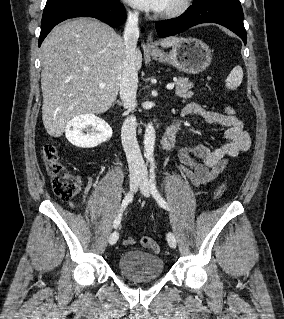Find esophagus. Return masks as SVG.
<instances>
[{
  "label": "esophagus",
  "mask_w": 284,
  "mask_h": 319,
  "mask_svg": "<svg viewBox=\"0 0 284 319\" xmlns=\"http://www.w3.org/2000/svg\"><path fill=\"white\" fill-rule=\"evenodd\" d=\"M144 49L146 51H150V52L157 51V47H156L155 43L153 42V38H152L151 34H149L147 37V41H146V44L144 46Z\"/></svg>",
  "instance_id": "1"
}]
</instances>
